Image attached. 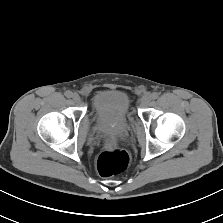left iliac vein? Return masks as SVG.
I'll return each instance as SVG.
<instances>
[{"label": "left iliac vein", "mask_w": 223, "mask_h": 223, "mask_svg": "<svg viewBox=\"0 0 223 223\" xmlns=\"http://www.w3.org/2000/svg\"><path fill=\"white\" fill-rule=\"evenodd\" d=\"M151 94H146L144 95L141 100H140V104L142 107H145L149 104V102L151 101Z\"/></svg>", "instance_id": "1"}]
</instances>
